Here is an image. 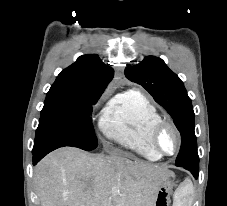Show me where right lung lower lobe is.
<instances>
[{
    "instance_id": "right-lung-lower-lobe-1",
    "label": "right lung lower lobe",
    "mask_w": 227,
    "mask_h": 206,
    "mask_svg": "<svg viewBox=\"0 0 227 206\" xmlns=\"http://www.w3.org/2000/svg\"><path fill=\"white\" fill-rule=\"evenodd\" d=\"M59 148L56 145H47L32 151L33 154V165H36L45 155L49 152Z\"/></svg>"
}]
</instances>
